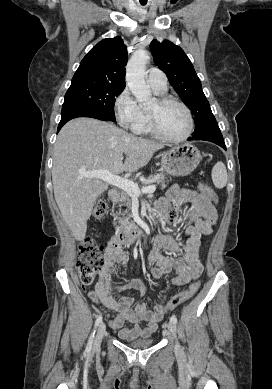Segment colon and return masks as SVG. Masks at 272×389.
Segmentation results:
<instances>
[{
    "label": "colon",
    "instance_id": "1",
    "mask_svg": "<svg viewBox=\"0 0 272 389\" xmlns=\"http://www.w3.org/2000/svg\"><path fill=\"white\" fill-rule=\"evenodd\" d=\"M202 194L206 195L211 201L215 200V194L210 186L205 183L199 185ZM108 209V204L104 200L96 203L94 208V216L96 218L103 217ZM104 265L103 248L92 238H85L79 244V258L77 262V270L80 281L85 286L93 284L98 271ZM199 284L194 283L187 289L174 295L167 303L166 307L173 310L178 305L190 299L198 290Z\"/></svg>",
    "mask_w": 272,
    "mask_h": 389
}]
</instances>
